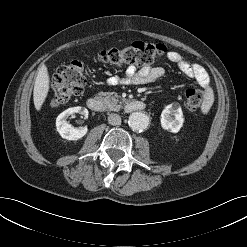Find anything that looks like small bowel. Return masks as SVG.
I'll use <instances>...</instances> for the list:
<instances>
[{
  "label": "small bowel",
  "instance_id": "small-bowel-1",
  "mask_svg": "<svg viewBox=\"0 0 247 247\" xmlns=\"http://www.w3.org/2000/svg\"><path fill=\"white\" fill-rule=\"evenodd\" d=\"M168 60L174 63L180 72L186 77L194 80L202 90L203 102L200 107L202 113L206 114L214 102V91L209 75L205 68L199 64L187 61L179 52L170 51ZM164 75L162 67L129 66L123 76H112L106 81L108 86H122L128 84H147L160 79Z\"/></svg>",
  "mask_w": 247,
  "mask_h": 247
}]
</instances>
